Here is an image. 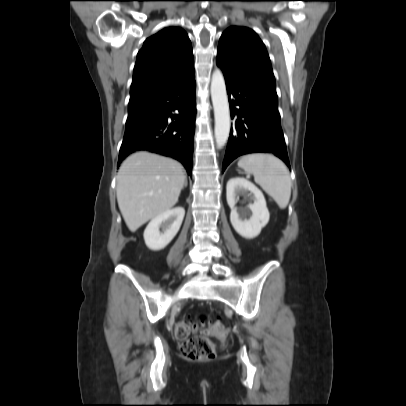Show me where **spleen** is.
Wrapping results in <instances>:
<instances>
[{"mask_svg": "<svg viewBox=\"0 0 406 406\" xmlns=\"http://www.w3.org/2000/svg\"><path fill=\"white\" fill-rule=\"evenodd\" d=\"M238 166L254 176L255 182L285 209L291 196V179L286 165L270 154L254 153L243 156Z\"/></svg>", "mask_w": 406, "mask_h": 406, "instance_id": "spleen-1", "label": "spleen"}]
</instances>
